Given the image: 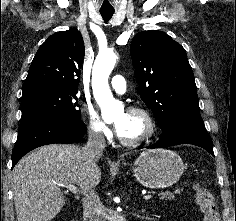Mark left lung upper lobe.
<instances>
[{
	"instance_id": "left-lung-upper-lobe-1",
	"label": "left lung upper lobe",
	"mask_w": 236,
	"mask_h": 221,
	"mask_svg": "<svg viewBox=\"0 0 236 221\" xmlns=\"http://www.w3.org/2000/svg\"><path fill=\"white\" fill-rule=\"evenodd\" d=\"M131 56L139 93L160 126L176 117L200 116L192 68L184 48L158 30L138 33Z\"/></svg>"
}]
</instances>
